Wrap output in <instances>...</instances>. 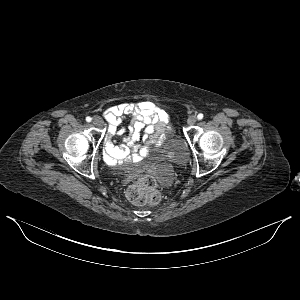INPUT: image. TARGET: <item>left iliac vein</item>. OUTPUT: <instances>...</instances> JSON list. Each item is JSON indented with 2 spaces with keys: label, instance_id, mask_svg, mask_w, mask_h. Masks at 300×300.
I'll return each instance as SVG.
<instances>
[{
  "label": "left iliac vein",
  "instance_id": "left-iliac-vein-1",
  "mask_svg": "<svg viewBox=\"0 0 300 300\" xmlns=\"http://www.w3.org/2000/svg\"><path fill=\"white\" fill-rule=\"evenodd\" d=\"M197 121V117L195 115H190L188 117L187 123L188 125H194Z\"/></svg>",
  "mask_w": 300,
  "mask_h": 300
}]
</instances>
